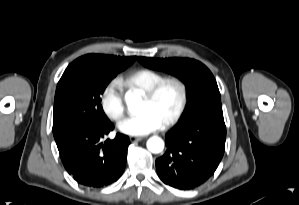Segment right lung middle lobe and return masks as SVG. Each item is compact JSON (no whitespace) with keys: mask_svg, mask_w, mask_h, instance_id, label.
Instances as JSON below:
<instances>
[{"mask_svg":"<svg viewBox=\"0 0 299 205\" xmlns=\"http://www.w3.org/2000/svg\"><path fill=\"white\" fill-rule=\"evenodd\" d=\"M129 64L72 62L56 89L53 135L56 143L72 131L109 121L103 112L101 94L108 83Z\"/></svg>","mask_w":299,"mask_h":205,"instance_id":"obj_1","label":"right lung middle lobe"}]
</instances>
